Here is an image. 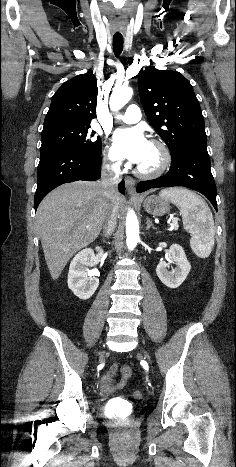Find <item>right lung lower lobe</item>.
<instances>
[{
	"label": "right lung lower lobe",
	"instance_id": "1",
	"mask_svg": "<svg viewBox=\"0 0 236 467\" xmlns=\"http://www.w3.org/2000/svg\"><path fill=\"white\" fill-rule=\"evenodd\" d=\"M101 155L90 154L71 148H57L40 154L37 170L35 209L41 200L57 186L79 180L94 181L100 178ZM125 192V184H119Z\"/></svg>",
	"mask_w": 236,
	"mask_h": 467
}]
</instances>
